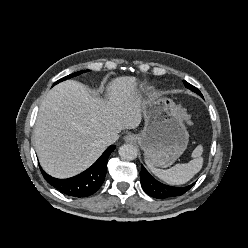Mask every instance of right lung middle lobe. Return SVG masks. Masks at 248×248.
Here are the masks:
<instances>
[{"instance_id":"dd1d6c3e","label":"right lung middle lobe","mask_w":248,"mask_h":248,"mask_svg":"<svg viewBox=\"0 0 248 248\" xmlns=\"http://www.w3.org/2000/svg\"><path fill=\"white\" fill-rule=\"evenodd\" d=\"M87 71H89V70H84V71H80V72H76V73L70 74V75H68V76H66V77L61 78V79L58 80L55 84H57V83H59V82H61V81H64V80H66V79L75 77V76H77V75H80V74H82V73H84V72H87ZM55 84H54V85H55Z\"/></svg>"}]
</instances>
